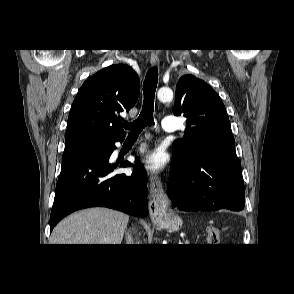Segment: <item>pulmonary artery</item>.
Segmentation results:
<instances>
[{
	"label": "pulmonary artery",
	"instance_id": "e3ab8cb5",
	"mask_svg": "<svg viewBox=\"0 0 294 294\" xmlns=\"http://www.w3.org/2000/svg\"><path fill=\"white\" fill-rule=\"evenodd\" d=\"M177 118L174 116H166L162 120V126L165 131H175L177 126Z\"/></svg>",
	"mask_w": 294,
	"mask_h": 294
}]
</instances>
